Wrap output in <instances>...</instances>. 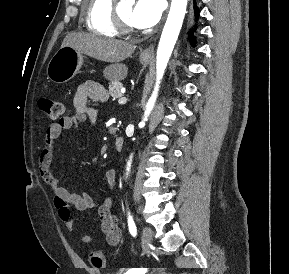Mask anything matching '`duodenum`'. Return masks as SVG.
<instances>
[{
	"mask_svg": "<svg viewBox=\"0 0 289 274\" xmlns=\"http://www.w3.org/2000/svg\"><path fill=\"white\" fill-rule=\"evenodd\" d=\"M124 146V139L122 137H116L114 141V147L117 151H121Z\"/></svg>",
	"mask_w": 289,
	"mask_h": 274,
	"instance_id": "duodenum-1",
	"label": "duodenum"
}]
</instances>
